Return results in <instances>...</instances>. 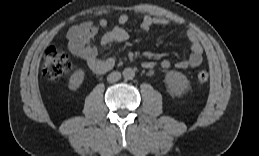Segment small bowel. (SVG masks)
Instances as JSON below:
<instances>
[{"label":"small bowel","instance_id":"obj_1","mask_svg":"<svg viewBox=\"0 0 259 156\" xmlns=\"http://www.w3.org/2000/svg\"><path fill=\"white\" fill-rule=\"evenodd\" d=\"M137 18L140 20L143 30H148L153 26L167 27L170 24V21L164 17L137 15ZM130 20L131 17L129 15L121 14L118 17L117 25L102 35L100 44L102 46H109L114 43L126 41L129 35L123 26ZM107 26L108 21L106 19H100L97 22L87 21L71 27L66 34L70 52L74 56L84 60L89 69L95 74H103L111 70L115 64L114 59L111 57H99L98 49L94 44L97 32L106 29ZM181 33L179 30L178 34ZM186 37L190 41L191 52L185 59L175 64V67L180 70L196 68L200 66L203 61V48L197 33L193 30H189L186 32ZM157 65L162 69H168L171 63L166 59L162 60L159 64L152 61L143 63V67L146 69H153Z\"/></svg>","mask_w":259,"mask_h":156}]
</instances>
